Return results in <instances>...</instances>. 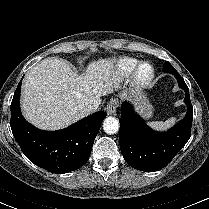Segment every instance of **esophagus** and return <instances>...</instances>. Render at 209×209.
Returning a JSON list of instances; mask_svg holds the SVG:
<instances>
[{
	"label": "esophagus",
	"mask_w": 209,
	"mask_h": 209,
	"mask_svg": "<svg viewBox=\"0 0 209 209\" xmlns=\"http://www.w3.org/2000/svg\"><path fill=\"white\" fill-rule=\"evenodd\" d=\"M118 107V100L111 99L107 105L106 112L108 115H115Z\"/></svg>",
	"instance_id": "1"
}]
</instances>
